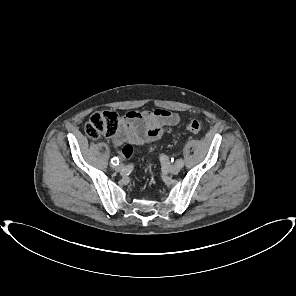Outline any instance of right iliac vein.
Listing matches in <instances>:
<instances>
[{
	"label": "right iliac vein",
	"mask_w": 296,
	"mask_h": 296,
	"mask_svg": "<svg viewBox=\"0 0 296 296\" xmlns=\"http://www.w3.org/2000/svg\"><path fill=\"white\" fill-rule=\"evenodd\" d=\"M123 168H124V165L122 164V163H120L119 165H117L116 166V171H121V170H123Z\"/></svg>",
	"instance_id": "obj_1"
}]
</instances>
